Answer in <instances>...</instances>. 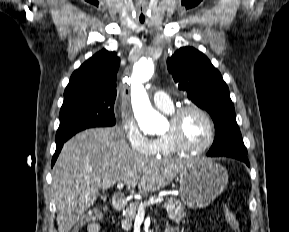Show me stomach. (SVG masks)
I'll return each mask as SVG.
<instances>
[{
	"label": "stomach",
	"mask_w": 289,
	"mask_h": 232,
	"mask_svg": "<svg viewBox=\"0 0 289 232\" xmlns=\"http://www.w3.org/2000/svg\"><path fill=\"white\" fill-rule=\"evenodd\" d=\"M227 170L208 159L191 160L179 174V192L189 208L207 207L226 188Z\"/></svg>",
	"instance_id": "1"
}]
</instances>
